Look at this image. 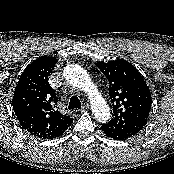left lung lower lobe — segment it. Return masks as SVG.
<instances>
[{"mask_svg":"<svg viewBox=\"0 0 174 174\" xmlns=\"http://www.w3.org/2000/svg\"><path fill=\"white\" fill-rule=\"evenodd\" d=\"M101 130L106 136L113 138V139H117V140H124V139L130 137L128 135L116 133L104 125H102Z\"/></svg>","mask_w":174,"mask_h":174,"instance_id":"1","label":"left lung lower lobe"}]
</instances>
